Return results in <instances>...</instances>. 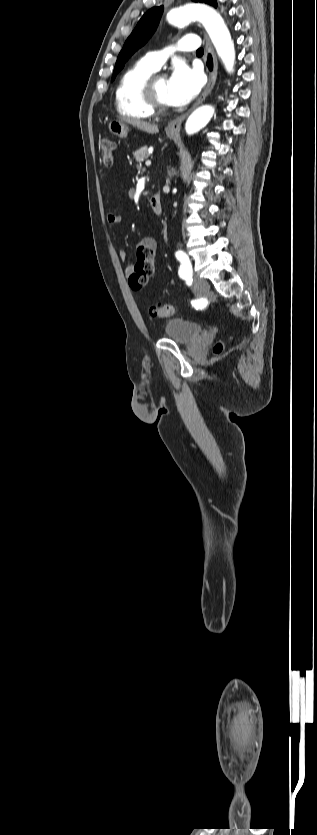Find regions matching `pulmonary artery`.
Wrapping results in <instances>:
<instances>
[{
    "label": "pulmonary artery",
    "instance_id": "1",
    "mask_svg": "<svg viewBox=\"0 0 317 835\" xmlns=\"http://www.w3.org/2000/svg\"><path fill=\"white\" fill-rule=\"evenodd\" d=\"M200 46L199 38L196 35H185L181 37L178 42L170 48L159 51L148 52L143 60L153 69L158 70L166 61L169 54L173 51L189 52L197 50Z\"/></svg>",
    "mask_w": 317,
    "mask_h": 835
}]
</instances>
